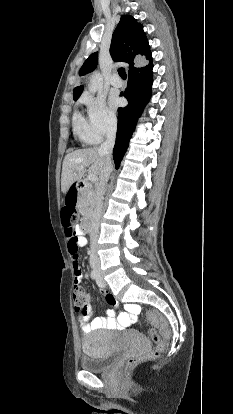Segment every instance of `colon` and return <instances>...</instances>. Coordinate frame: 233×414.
Here are the masks:
<instances>
[{"instance_id": "colon-1", "label": "colon", "mask_w": 233, "mask_h": 414, "mask_svg": "<svg viewBox=\"0 0 233 414\" xmlns=\"http://www.w3.org/2000/svg\"><path fill=\"white\" fill-rule=\"evenodd\" d=\"M77 219H78V214L75 211V209L72 212L64 211L63 223H64L66 235L68 237V249H69L70 254H72V252L75 250L79 251V247L77 244V238H76V231L74 228V225ZM73 304H74V308H75V311L79 319L81 321H85L82 311L84 310L85 305L88 304V298H87L85 289L82 284L79 287V289H74V285H73ZM79 307L81 308L80 310L78 309ZM146 319L150 325L154 326L155 328H159V331L157 329H151L149 332V336L151 340L155 342L157 346L148 355L152 358H155V357H158L160 352L165 347V342L162 340V338L167 337L169 335V329L167 327V324L164 318L156 310H153V309L148 310L146 312ZM139 361H140L139 356H132L126 361L125 366L126 368H132L135 365H137Z\"/></svg>"}]
</instances>
